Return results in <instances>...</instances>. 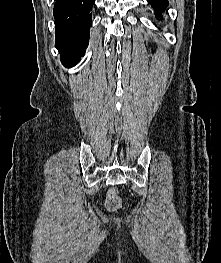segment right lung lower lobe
Wrapping results in <instances>:
<instances>
[{
	"label": "right lung lower lobe",
	"mask_w": 221,
	"mask_h": 263,
	"mask_svg": "<svg viewBox=\"0 0 221 263\" xmlns=\"http://www.w3.org/2000/svg\"><path fill=\"white\" fill-rule=\"evenodd\" d=\"M93 4L94 0H56L53 9L55 47L66 67L75 66L85 53L89 42Z\"/></svg>",
	"instance_id": "1"
}]
</instances>
